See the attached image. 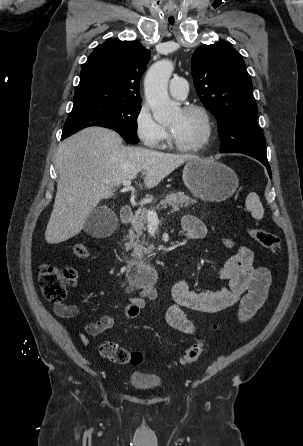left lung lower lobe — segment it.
<instances>
[{"label":"left lung lower lobe","mask_w":303,"mask_h":446,"mask_svg":"<svg viewBox=\"0 0 303 446\" xmlns=\"http://www.w3.org/2000/svg\"><path fill=\"white\" fill-rule=\"evenodd\" d=\"M246 155H248V154H246ZM249 156L256 158V159L259 160L263 165H265L266 168H267V170H268V174H269V176L271 177V169H270V166H269V164H268V160H267V158L260 157V156H256V155H249Z\"/></svg>","instance_id":"1"}]
</instances>
